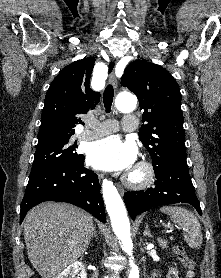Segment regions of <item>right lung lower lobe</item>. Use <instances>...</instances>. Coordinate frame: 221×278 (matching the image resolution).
Returning <instances> with one entry per match:
<instances>
[{
  "label": "right lung lower lobe",
  "instance_id": "obj_1",
  "mask_svg": "<svg viewBox=\"0 0 221 278\" xmlns=\"http://www.w3.org/2000/svg\"><path fill=\"white\" fill-rule=\"evenodd\" d=\"M44 201L71 203L101 222L106 221L98 176L84 167V158L54 165L29 176L21 203L20 222L33 206Z\"/></svg>",
  "mask_w": 221,
  "mask_h": 278
}]
</instances>
